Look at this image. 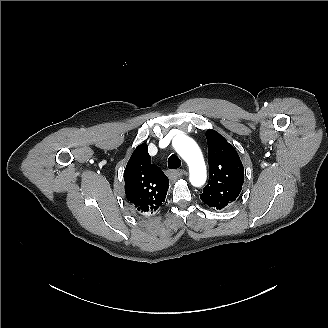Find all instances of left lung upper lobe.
Listing matches in <instances>:
<instances>
[{
	"instance_id": "left-lung-upper-lobe-1",
	"label": "left lung upper lobe",
	"mask_w": 328,
	"mask_h": 328,
	"mask_svg": "<svg viewBox=\"0 0 328 328\" xmlns=\"http://www.w3.org/2000/svg\"><path fill=\"white\" fill-rule=\"evenodd\" d=\"M209 180L200 199L220 210L235 201L244 181V168L235 148L218 132L208 129Z\"/></svg>"
}]
</instances>
